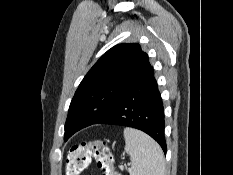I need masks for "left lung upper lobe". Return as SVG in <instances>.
<instances>
[{"label": "left lung upper lobe", "instance_id": "obj_1", "mask_svg": "<svg viewBox=\"0 0 233 175\" xmlns=\"http://www.w3.org/2000/svg\"><path fill=\"white\" fill-rule=\"evenodd\" d=\"M150 66L137 43L108 50L81 81L69 107L64 140L103 116Z\"/></svg>", "mask_w": 233, "mask_h": 175}]
</instances>
